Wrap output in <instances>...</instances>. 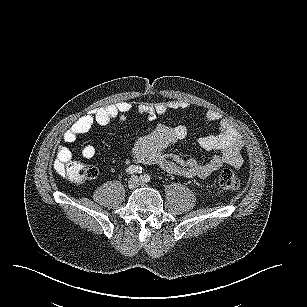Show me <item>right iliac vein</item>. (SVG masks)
I'll list each match as a JSON object with an SVG mask.
<instances>
[{
  "label": "right iliac vein",
  "mask_w": 307,
  "mask_h": 307,
  "mask_svg": "<svg viewBox=\"0 0 307 307\" xmlns=\"http://www.w3.org/2000/svg\"><path fill=\"white\" fill-rule=\"evenodd\" d=\"M138 183V177L133 176L129 181H128V188L129 189H134Z\"/></svg>",
  "instance_id": "63e3f726"
}]
</instances>
